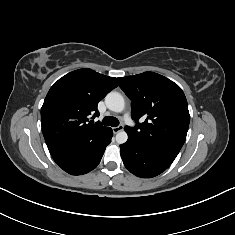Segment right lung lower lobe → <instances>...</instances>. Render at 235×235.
Instances as JSON below:
<instances>
[{"instance_id": "1", "label": "right lung lower lobe", "mask_w": 235, "mask_h": 235, "mask_svg": "<svg viewBox=\"0 0 235 235\" xmlns=\"http://www.w3.org/2000/svg\"><path fill=\"white\" fill-rule=\"evenodd\" d=\"M112 136V129L109 128L98 139L78 145L64 154L53 156V159L60 168L69 174L82 175L88 173L100 163Z\"/></svg>"}]
</instances>
